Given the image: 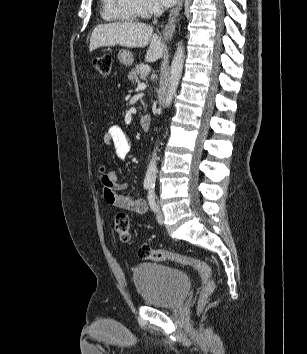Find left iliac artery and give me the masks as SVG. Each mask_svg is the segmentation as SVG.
I'll list each match as a JSON object with an SVG mask.
<instances>
[{"label": "left iliac artery", "mask_w": 307, "mask_h": 354, "mask_svg": "<svg viewBox=\"0 0 307 354\" xmlns=\"http://www.w3.org/2000/svg\"><path fill=\"white\" fill-rule=\"evenodd\" d=\"M147 198H148L150 208L155 212L156 211V203H155L154 185L150 186Z\"/></svg>", "instance_id": "44dca946"}]
</instances>
